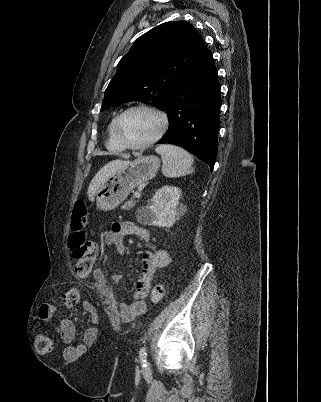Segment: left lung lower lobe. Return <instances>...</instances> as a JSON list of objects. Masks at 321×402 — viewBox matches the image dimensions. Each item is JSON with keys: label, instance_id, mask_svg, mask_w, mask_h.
<instances>
[{"label": "left lung lower lobe", "instance_id": "0a47b994", "mask_svg": "<svg viewBox=\"0 0 321 402\" xmlns=\"http://www.w3.org/2000/svg\"><path fill=\"white\" fill-rule=\"evenodd\" d=\"M220 107L217 69L212 53L206 49L168 96L164 110L169 129L157 144L181 146L212 170L217 154Z\"/></svg>", "mask_w": 321, "mask_h": 402}]
</instances>
